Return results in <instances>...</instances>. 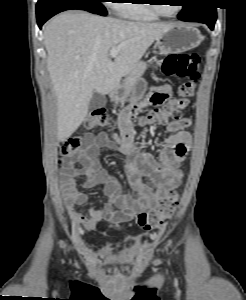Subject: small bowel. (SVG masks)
Segmentation results:
<instances>
[{"label":"small bowel","instance_id":"obj_1","mask_svg":"<svg viewBox=\"0 0 246 300\" xmlns=\"http://www.w3.org/2000/svg\"><path fill=\"white\" fill-rule=\"evenodd\" d=\"M170 93L171 86L163 83L154 86L143 101L125 107L117 120L120 136L113 134L110 139L105 133H99L83 137L76 159L69 160L60 171V187L74 225L91 231L101 222L122 223L135 214L154 207L170 189L180 185L183 178L180 167L192 143L191 135L186 130L191 125V120L181 117L167 123L166 129L170 136L165 140L158 160L142 151L135 142L136 132L132 123L140 110L148 105H155V94H163L167 100ZM187 103L186 99H181L180 109ZM104 147L124 157V169L135 192L134 196L124 192L118 178L102 168L98 156ZM75 162L80 167H75ZM79 176L86 178L84 188L103 185L107 202L100 207L89 208L86 212L80 211L78 206L87 201V196L78 189L76 179ZM146 178L152 182L153 187L146 183Z\"/></svg>","mask_w":246,"mask_h":300}]
</instances>
